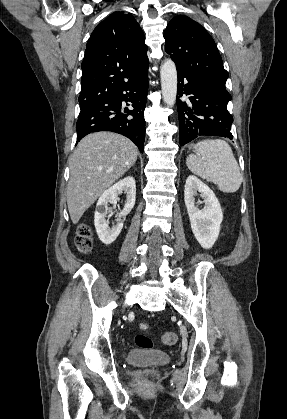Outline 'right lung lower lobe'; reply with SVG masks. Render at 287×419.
Masks as SVG:
<instances>
[{"instance_id": "1", "label": "right lung lower lobe", "mask_w": 287, "mask_h": 419, "mask_svg": "<svg viewBox=\"0 0 287 419\" xmlns=\"http://www.w3.org/2000/svg\"><path fill=\"white\" fill-rule=\"evenodd\" d=\"M147 94L148 72L81 107L76 124L77 142L92 132L112 131L128 137L143 152ZM123 101L130 102L133 109L123 110Z\"/></svg>"}]
</instances>
